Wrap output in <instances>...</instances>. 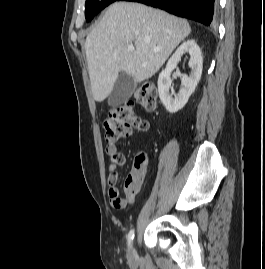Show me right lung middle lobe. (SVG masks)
Returning <instances> with one entry per match:
<instances>
[{
    "label": "right lung middle lobe",
    "instance_id": "dd1d6c3e",
    "mask_svg": "<svg viewBox=\"0 0 265 269\" xmlns=\"http://www.w3.org/2000/svg\"><path fill=\"white\" fill-rule=\"evenodd\" d=\"M119 0H86L85 15L86 21L89 22L93 17L102 9L110 5L111 3Z\"/></svg>",
    "mask_w": 265,
    "mask_h": 269
}]
</instances>
